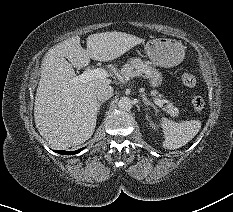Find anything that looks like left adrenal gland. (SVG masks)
Returning a JSON list of instances; mask_svg holds the SVG:
<instances>
[{"mask_svg":"<svg viewBox=\"0 0 233 212\" xmlns=\"http://www.w3.org/2000/svg\"><path fill=\"white\" fill-rule=\"evenodd\" d=\"M142 101L144 102L145 105H151V106H153L152 103L144 95H142Z\"/></svg>","mask_w":233,"mask_h":212,"instance_id":"a2214340","label":"left adrenal gland"}]
</instances>
